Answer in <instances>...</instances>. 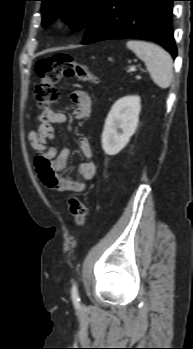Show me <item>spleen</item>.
I'll return each mask as SVG.
<instances>
[{"mask_svg": "<svg viewBox=\"0 0 193 349\" xmlns=\"http://www.w3.org/2000/svg\"><path fill=\"white\" fill-rule=\"evenodd\" d=\"M127 47L143 60L153 82L160 88H168L173 79V64L170 54L153 43L129 40Z\"/></svg>", "mask_w": 193, "mask_h": 349, "instance_id": "3e777b00", "label": "spleen"}]
</instances>
